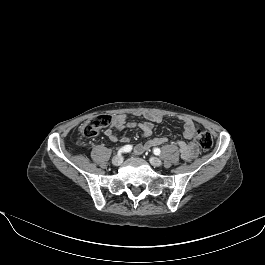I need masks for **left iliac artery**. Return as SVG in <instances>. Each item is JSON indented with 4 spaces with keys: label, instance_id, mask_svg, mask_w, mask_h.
I'll use <instances>...</instances> for the list:
<instances>
[{
    "label": "left iliac artery",
    "instance_id": "obj_1",
    "mask_svg": "<svg viewBox=\"0 0 265 265\" xmlns=\"http://www.w3.org/2000/svg\"><path fill=\"white\" fill-rule=\"evenodd\" d=\"M153 152L155 155H159L161 153L159 148H155Z\"/></svg>",
    "mask_w": 265,
    "mask_h": 265
}]
</instances>
